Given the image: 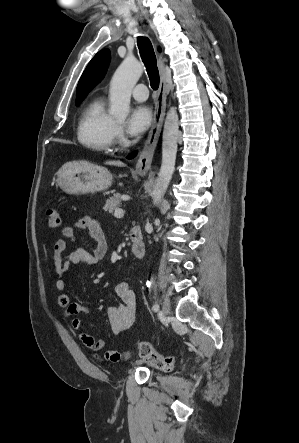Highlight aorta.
Segmentation results:
<instances>
[{"mask_svg": "<svg viewBox=\"0 0 299 443\" xmlns=\"http://www.w3.org/2000/svg\"><path fill=\"white\" fill-rule=\"evenodd\" d=\"M143 73V65L133 56H127L115 71L109 89L110 114L125 120L130 112L132 89ZM179 117L175 107L166 115L162 137V164L153 189V204L164 196L175 170Z\"/></svg>", "mask_w": 299, "mask_h": 443, "instance_id": "obj_1", "label": "aorta"}]
</instances>
